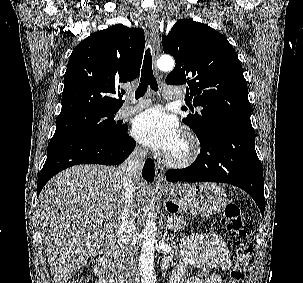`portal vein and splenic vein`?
<instances>
[{"label":"portal vein and splenic vein","mask_w":303,"mask_h":283,"mask_svg":"<svg viewBox=\"0 0 303 283\" xmlns=\"http://www.w3.org/2000/svg\"><path fill=\"white\" fill-rule=\"evenodd\" d=\"M168 228H172V221L170 220L167 225Z\"/></svg>","instance_id":"18ae733b"}]
</instances>
